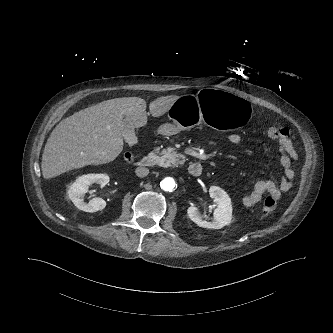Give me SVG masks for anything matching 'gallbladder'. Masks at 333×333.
I'll return each instance as SVG.
<instances>
[{
	"label": "gallbladder",
	"instance_id": "obj_1",
	"mask_svg": "<svg viewBox=\"0 0 333 333\" xmlns=\"http://www.w3.org/2000/svg\"><path fill=\"white\" fill-rule=\"evenodd\" d=\"M121 133L129 145H134L137 143V137L135 136L133 123L127 118H125L122 122Z\"/></svg>",
	"mask_w": 333,
	"mask_h": 333
}]
</instances>
